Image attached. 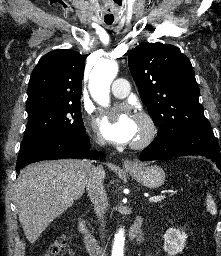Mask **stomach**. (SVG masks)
I'll list each match as a JSON object with an SVG mask.
<instances>
[{
  "instance_id": "0dacf381",
  "label": "stomach",
  "mask_w": 221,
  "mask_h": 256,
  "mask_svg": "<svg viewBox=\"0 0 221 256\" xmlns=\"http://www.w3.org/2000/svg\"><path fill=\"white\" fill-rule=\"evenodd\" d=\"M126 171L144 187L155 189L164 184L165 172L156 165H137L134 168H126Z\"/></svg>"
}]
</instances>
